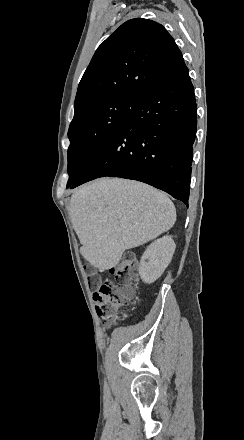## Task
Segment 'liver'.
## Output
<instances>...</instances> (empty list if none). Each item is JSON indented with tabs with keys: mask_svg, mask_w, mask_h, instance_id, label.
Wrapping results in <instances>:
<instances>
[{
	"mask_svg": "<svg viewBox=\"0 0 244 440\" xmlns=\"http://www.w3.org/2000/svg\"><path fill=\"white\" fill-rule=\"evenodd\" d=\"M70 216L83 258L99 270L115 268L125 250L154 240L176 222L167 194L122 178H99L77 188Z\"/></svg>",
	"mask_w": 244,
	"mask_h": 440,
	"instance_id": "1",
	"label": "liver"
}]
</instances>
